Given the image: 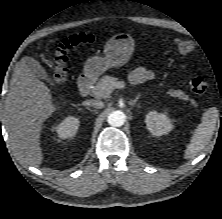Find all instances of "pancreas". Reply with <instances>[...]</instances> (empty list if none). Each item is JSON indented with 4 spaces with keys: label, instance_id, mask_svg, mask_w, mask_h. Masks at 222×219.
Masks as SVG:
<instances>
[{
    "label": "pancreas",
    "instance_id": "1",
    "mask_svg": "<svg viewBox=\"0 0 222 219\" xmlns=\"http://www.w3.org/2000/svg\"><path fill=\"white\" fill-rule=\"evenodd\" d=\"M118 82V79L112 76L105 75L103 76L98 83L95 85V87L92 90L93 96L96 98H106L109 96V94L112 92V90L109 89V86L112 85V83ZM168 94L172 97H177L184 101H190L191 105L197 106V103L190 99L183 91L181 90H172L170 89L168 91Z\"/></svg>",
    "mask_w": 222,
    "mask_h": 219
}]
</instances>
